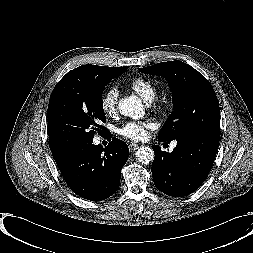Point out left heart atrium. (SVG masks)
<instances>
[{
	"instance_id": "obj_1",
	"label": "left heart atrium",
	"mask_w": 253,
	"mask_h": 253,
	"mask_svg": "<svg viewBox=\"0 0 253 253\" xmlns=\"http://www.w3.org/2000/svg\"><path fill=\"white\" fill-rule=\"evenodd\" d=\"M152 127L151 121H130L119 129V134L132 141H143Z\"/></svg>"
}]
</instances>
